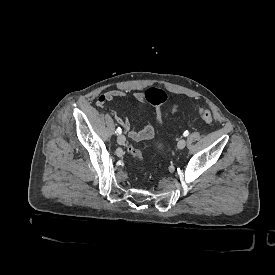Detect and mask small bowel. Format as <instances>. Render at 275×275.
<instances>
[{"instance_id": "small-bowel-1", "label": "small bowel", "mask_w": 275, "mask_h": 275, "mask_svg": "<svg viewBox=\"0 0 275 275\" xmlns=\"http://www.w3.org/2000/svg\"><path fill=\"white\" fill-rule=\"evenodd\" d=\"M124 97H126L125 90L112 89L99 95L95 101V105L98 108L105 109L107 108V104L109 102L113 101L114 99L124 98ZM133 98L139 103L146 102L144 94L140 91H134ZM179 108H180V104L175 103L172 106V111L177 112ZM112 114L115 116L116 121L124 128V130L128 132V135L131 140L135 142H140L149 138L152 135L153 128L151 123H147L145 127L141 130H136L131 127L130 121L127 117L120 115L115 110H112Z\"/></svg>"}]
</instances>
